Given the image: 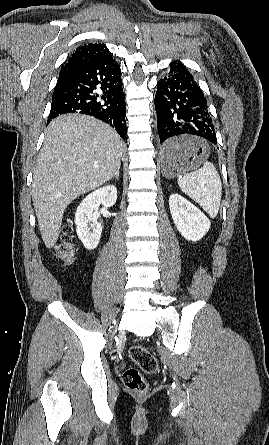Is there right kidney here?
I'll list each match as a JSON object with an SVG mask.
<instances>
[{
	"label": "right kidney",
	"mask_w": 269,
	"mask_h": 445,
	"mask_svg": "<svg viewBox=\"0 0 269 445\" xmlns=\"http://www.w3.org/2000/svg\"><path fill=\"white\" fill-rule=\"evenodd\" d=\"M117 200V188L114 185L101 187L86 196L79 204L75 214L78 238L87 250H93L100 241L102 226L93 212L100 205L111 207Z\"/></svg>",
	"instance_id": "right-kidney-1"
}]
</instances>
